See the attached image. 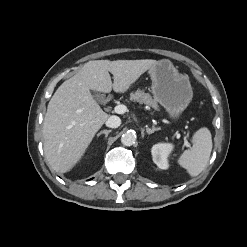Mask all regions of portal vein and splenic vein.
Instances as JSON below:
<instances>
[{
  "label": "portal vein and splenic vein",
  "mask_w": 247,
  "mask_h": 247,
  "mask_svg": "<svg viewBox=\"0 0 247 247\" xmlns=\"http://www.w3.org/2000/svg\"><path fill=\"white\" fill-rule=\"evenodd\" d=\"M114 111L117 114H124L125 112H127V107L125 105H122V104L117 105V106H115ZM184 143L187 147H189V142L187 141L186 137H184Z\"/></svg>",
  "instance_id": "18ae733b"
}]
</instances>
